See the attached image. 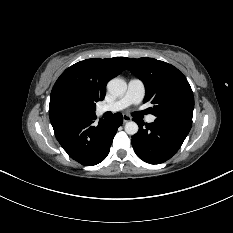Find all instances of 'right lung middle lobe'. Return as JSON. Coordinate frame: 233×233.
Wrapping results in <instances>:
<instances>
[{"mask_svg": "<svg viewBox=\"0 0 233 233\" xmlns=\"http://www.w3.org/2000/svg\"><path fill=\"white\" fill-rule=\"evenodd\" d=\"M59 112L63 116H80L94 113V109L89 110L85 104L74 96L63 98L58 104Z\"/></svg>", "mask_w": 233, "mask_h": 233, "instance_id": "dd1d6c3e", "label": "right lung middle lobe"}]
</instances>
